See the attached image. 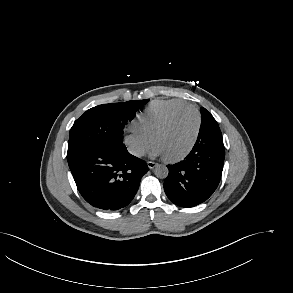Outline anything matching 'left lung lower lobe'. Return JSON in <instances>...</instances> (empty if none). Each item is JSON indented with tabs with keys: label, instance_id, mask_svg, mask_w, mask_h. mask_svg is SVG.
Returning <instances> with one entry per match:
<instances>
[{
	"label": "left lung lower lobe",
	"instance_id": "0a47b994",
	"mask_svg": "<svg viewBox=\"0 0 293 293\" xmlns=\"http://www.w3.org/2000/svg\"><path fill=\"white\" fill-rule=\"evenodd\" d=\"M224 157L221 133L198 135L193 149L183 161L167 165L169 174L164 181L167 197L186 208L207 200L220 182Z\"/></svg>",
	"mask_w": 293,
	"mask_h": 293
}]
</instances>
